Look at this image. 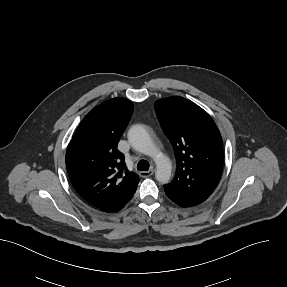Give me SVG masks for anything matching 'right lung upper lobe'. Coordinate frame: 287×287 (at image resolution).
<instances>
[{"label":"right lung upper lobe","instance_id":"cb5924a9","mask_svg":"<svg viewBox=\"0 0 287 287\" xmlns=\"http://www.w3.org/2000/svg\"><path fill=\"white\" fill-rule=\"evenodd\" d=\"M132 112L128 99L105 101L84 117L70 141L66 167L71 183L97 208L136 191L138 175L125 168L117 150Z\"/></svg>","mask_w":287,"mask_h":287}]
</instances>
